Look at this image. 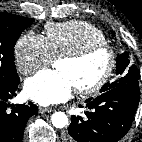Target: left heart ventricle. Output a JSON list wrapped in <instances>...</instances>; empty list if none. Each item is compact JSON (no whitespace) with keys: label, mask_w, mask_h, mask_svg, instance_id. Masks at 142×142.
Instances as JSON below:
<instances>
[{"label":"left heart ventricle","mask_w":142,"mask_h":142,"mask_svg":"<svg viewBox=\"0 0 142 142\" xmlns=\"http://www.w3.org/2000/svg\"><path fill=\"white\" fill-rule=\"evenodd\" d=\"M107 63V55L99 52L78 63L59 60L55 66L57 70L65 72L70 77L76 88L88 86L98 80L104 73Z\"/></svg>","instance_id":"1"}]
</instances>
